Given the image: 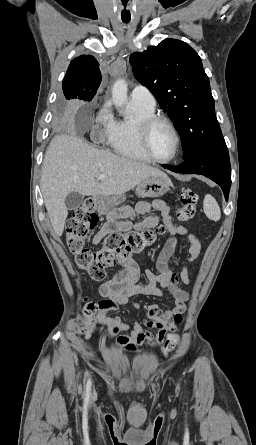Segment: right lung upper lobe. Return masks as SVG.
<instances>
[{
    "label": "right lung upper lobe",
    "mask_w": 256,
    "mask_h": 445,
    "mask_svg": "<svg viewBox=\"0 0 256 445\" xmlns=\"http://www.w3.org/2000/svg\"><path fill=\"white\" fill-rule=\"evenodd\" d=\"M102 80L99 63L91 55L73 59L63 79L64 95L71 99L91 101Z\"/></svg>",
    "instance_id": "1"
}]
</instances>
